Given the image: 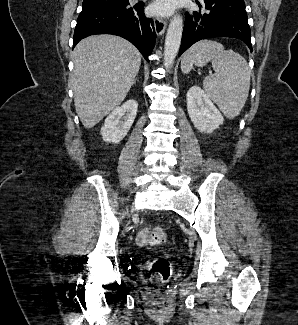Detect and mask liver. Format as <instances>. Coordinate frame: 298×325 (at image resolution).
Masks as SVG:
<instances>
[{"instance_id":"1","label":"liver","mask_w":298,"mask_h":325,"mask_svg":"<svg viewBox=\"0 0 298 325\" xmlns=\"http://www.w3.org/2000/svg\"><path fill=\"white\" fill-rule=\"evenodd\" d=\"M141 56L131 42L113 34H93L76 44L74 104L85 128L121 104L139 72Z\"/></svg>"}]
</instances>
